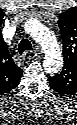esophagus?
<instances>
[{
    "mask_svg": "<svg viewBox=\"0 0 77 125\" xmlns=\"http://www.w3.org/2000/svg\"><path fill=\"white\" fill-rule=\"evenodd\" d=\"M34 53L33 51H30V50H26L24 53H23V56L26 57V58H31L34 56Z\"/></svg>",
    "mask_w": 77,
    "mask_h": 125,
    "instance_id": "obj_1",
    "label": "esophagus"
}]
</instances>
